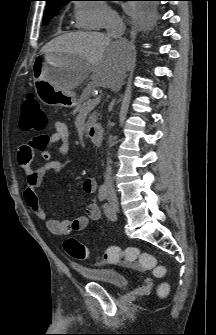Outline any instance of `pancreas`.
Masks as SVG:
<instances>
[{"label": "pancreas", "instance_id": "obj_1", "mask_svg": "<svg viewBox=\"0 0 216 335\" xmlns=\"http://www.w3.org/2000/svg\"><path fill=\"white\" fill-rule=\"evenodd\" d=\"M91 87L87 88L81 95V97L79 98L77 105H76V109L74 110V114L81 112V111H86L87 113H89L91 111V109L89 108V97L91 94ZM97 121V113L93 112L92 114L89 115L88 121L85 124V127L88 128L90 125L94 124Z\"/></svg>", "mask_w": 216, "mask_h": 335}]
</instances>
